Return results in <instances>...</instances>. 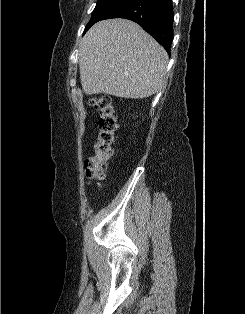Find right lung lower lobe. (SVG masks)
<instances>
[{"label":"right lung lower lobe","mask_w":245,"mask_h":314,"mask_svg":"<svg viewBox=\"0 0 245 314\" xmlns=\"http://www.w3.org/2000/svg\"><path fill=\"white\" fill-rule=\"evenodd\" d=\"M173 17L172 0H127L103 19L124 18L136 22L170 53Z\"/></svg>","instance_id":"98d812e1"}]
</instances>
